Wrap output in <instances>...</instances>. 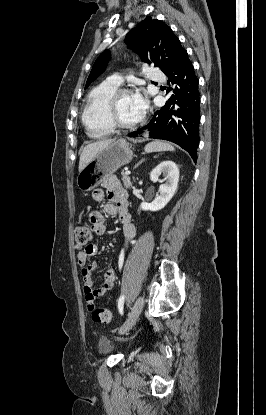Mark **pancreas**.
I'll return each mask as SVG.
<instances>
[{
  "instance_id": "1",
  "label": "pancreas",
  "mask_w": 266,
  "mask_h": 415,
  "mask_svg": "<svg viewBox=\"0 0 266 415\" xmlns=\"http://www.w3.org/2000/svg\"><path fill=\"white\" fill-rule=\"evenodd\" d=\"M122 181H123V184L126 188H130L132 186V182H131L130 177L127 174H125L124 172H122Z\"/></svg>"
}]
</instances>
